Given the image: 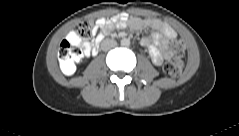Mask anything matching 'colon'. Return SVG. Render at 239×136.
Masks as SVG:
<instances>
[{
  "mask_svg": "<svg viewBox=\"0 0 239 136\" xmlns=\"http://www.w3.org/2000/svg\"><path fill=\"white\" fill-rule=\"evenodd\" d=\"M96 21L87 19L79 22L75 27V34L79 41L89 39L96 29ZM174 57L164 65V71L171 77H178L183 70L184 43L181 40L172 42ZM81 57V47L69 39L61 42L58 50L59 66L67 75L74 72L75 66Z\"/></svg>",
  "mask_w": 239,
  "mask_h": 136,
  "instance_id": "colon-1",
  "label": "colon"
}]
</instances>
